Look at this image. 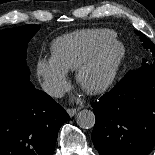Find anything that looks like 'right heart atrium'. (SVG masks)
<instances>
[{
	"label": "right heart atrium",
	"instance_id": "obj_1",
	"mask_svg": "<svg viewBox=\"0 0 155 155\" xmlns=\"http://www.w3.org/2000/svg\"><path fill=\"white\" fill-rule=\"evenodd\" d=\"M37 74L44 90L51 96H61L68 87L67 71L52 57L39 58L37 61Z\"/></svg>",
	"mask_w": 155,
	"mask_h": 155
}]
</instances>
